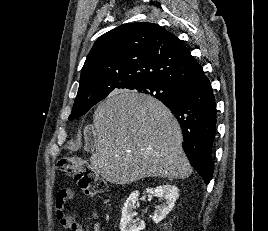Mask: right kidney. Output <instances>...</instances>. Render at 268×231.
<instances>
[{
    "label": "right kidney",
    "mask_w": 268,
    "mask_h": 231,
    "mask_svg": "<svg viewBox=\"0 0 268 231\" xmlns=\"http://www.w3.org/2000/svg\"><path fill=\"white\" fill-rule=\"evenodd\" d=\"M146 192L153 196H159L164 199V202L158 206L152 217L154 223L158 224L174 207V204L179 197V189L175 185L163 184L157 186L156 188H147ZM138 196L139 191L136 190L130 194L124 203L120 221L121 231H141L145 228V223L143 220L133 219L135 216L134 209L136 208L135 204L138 201Z\"/></svg>",
    "instance_id": "right-kidney-1"
}]
</instances>
